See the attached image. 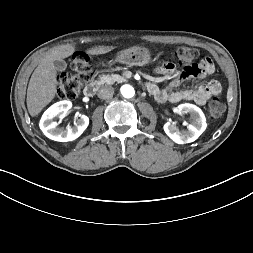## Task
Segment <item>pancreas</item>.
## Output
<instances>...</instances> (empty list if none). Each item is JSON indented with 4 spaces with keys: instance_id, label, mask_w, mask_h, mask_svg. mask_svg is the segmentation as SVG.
Listing matches in <instances>:
<instances>
[{
    "instance_id": "1",
    "label": "pancreas",
    "mask_w": 253,
    "mask_h": 253,
    "mask_svg": "<svg viewBox=\"0 0 253 253\" xmlns=\"http://www.w3.org/2000/svg\"><path fill=\"white\" fill-rule=\"evenodd\" d=\"M116 80H123L121 77H114L109 75H101L99 76V80L97 81L98 84H113Z\"/></svg>"
}]
</instances>
